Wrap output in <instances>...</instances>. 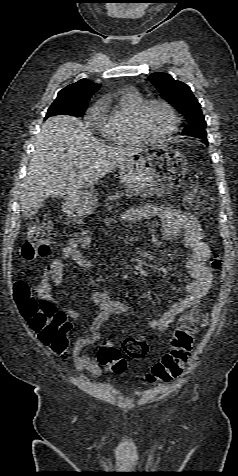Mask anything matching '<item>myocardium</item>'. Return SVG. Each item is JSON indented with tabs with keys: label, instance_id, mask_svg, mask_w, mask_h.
<instances>
[{
	"label": "myocardium",
	"instance_id": "f54148a6",
	"mask_svg": "<svg viewBox=\"0 0 238 476\" xmlns=\"http://www.w3.org/2000/svg\"><path fill=\"white\" fill-rule=\"evenodd\" d=\"M152 104H160L164 106L171 117V125L169 129L161 136H151L144 128L143 115L146 109ZM179 118L174 107L166 100L162 98H149L143 100V102L137 107L133 117V129L141 141L155 143L163 142L169 139L178 128Z\"/></svg>",
	"mask_w": 238,
	"mask_h": 476
}]
</instances>
